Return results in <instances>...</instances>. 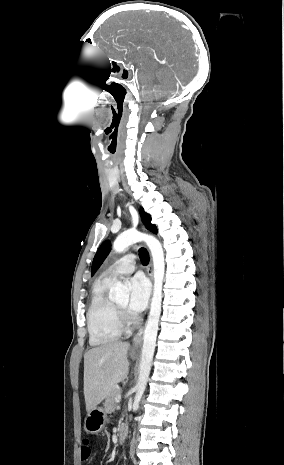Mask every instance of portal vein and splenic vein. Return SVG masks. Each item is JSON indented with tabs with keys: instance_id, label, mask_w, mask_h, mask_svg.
Here are the masks:
<instances>
[{
	"instance_id": "18ae733b",
	"label": "portal vein and splenic vein",
	"mask_w": 284,
	"mask_h": 465,
	"mask_svg": "<svg viewBox=\"0 0 284 465\" xmlns=\"http://www.w3.org/2000/svg\"><path fill=\"white\" fill-rule=\"evenodd\" d=\"M121 401V395H118V397H115V403H120Z\"/></svg>"
}]
</instances>
